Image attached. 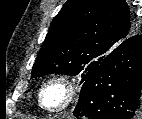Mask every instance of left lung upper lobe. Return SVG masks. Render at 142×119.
Listing matches in <instances>:
<instances>
[{
	"label": "left lung upper lobe",
	"instance_id": "obj_1",
	"mask_svg": "<svg viewBox=\"0 0 142 119\" xmlns=\"http://www.w3.org/2000/svg\"><path fill=\"white\" fill-rule=\"evenodd\" d=\"M136 28L125 0H68L51 23L31 76L81 74L82 84Z\"/></svg>",
	"mask_w": 142,
	"mask_h": 119
}]
</instances>
